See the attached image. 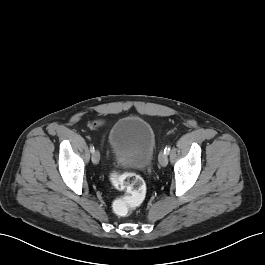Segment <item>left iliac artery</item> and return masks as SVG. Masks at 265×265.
Here are the masks:
<instances>
[{
  "instance_id": "obj_1",
  "label": "left iliac artery",
  "mask_w": 265,
  "mask_h": 265,
  "mask_svg": "<svg viewBox=\"0 0 265 265\" xmlns=\"http://www.w3.org/2000/svg\"><path fill=\"white\" fill-rule=\"evenodd\" d=\"M170 150H171V147H170V146H166L165 149H164V153H165L166 155H168L169 152H170Z\"/></svg>"
}]
</instances>
